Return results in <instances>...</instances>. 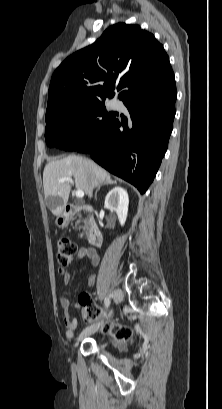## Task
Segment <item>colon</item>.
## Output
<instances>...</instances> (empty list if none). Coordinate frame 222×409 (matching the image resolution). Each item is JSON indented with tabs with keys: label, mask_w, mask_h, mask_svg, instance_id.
<instances>
[{
	"label": "colon",
	"mask_w": 222,
	"mask_h": 409,
	"mask_svg": "<svg viewBox=\"0 0 222 409\" xmlns=\"http://www.w3.org/2000/svg\"><path fill=\"white\" fill-rule=\"evenodd\" d=\"M76 254V245L73 241L67 238H61L57 242L56 258L59 264V271L62 272L63 269L72 261L74 255ZM99 315V309L95 307H88L85 312L87 319H92ZM112 333L114 338L119 342H124L128 340L132 331L126 326L111 325L107 329Z\"/></svg>",
	"instance_id": "1"
}]
</instances>
